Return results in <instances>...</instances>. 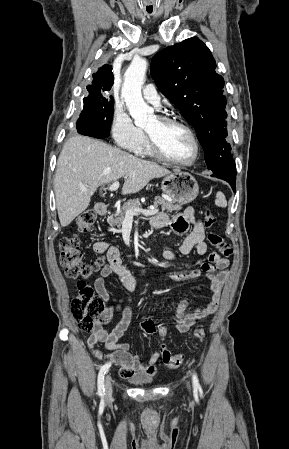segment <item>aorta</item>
I'll return each instance as SVG.
<instances>
[{
  "label": "aorta",
  "instance_id": "aorta-1",
  "mask_svg": "<svg viewBox=\"0 0 289 449\" xmlns=\"http://www.w3.org/2000/svg\"><path fill=\"white\" fill-rule=\"evenodd\" d=\"M147 61L134 58L125 72L121 96L137 126H144L153 118V109L143 100L141 87L145 80Z\"/></svg>",
  "mask_w": 289,
  "mask_h": 449
}]
</instances>
